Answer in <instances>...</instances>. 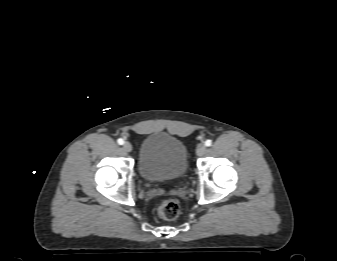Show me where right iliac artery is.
<instances>
[{"label": "right iliac artery", "mask_w": 337, "mask_h": 261, "mask_svg": "<svg viewBox=\"0 0 337 261\" xmlns=\"http://www.w3.org/2000/svg\"><path fill=\"white\" fill-rule=\"evenodd\" d=\"M117 142H118L119 145H123V144H124V140L121 139V138H119V139L117 140Z\"/></svg>", "instance_id": "obj_1"}]
</instances>
